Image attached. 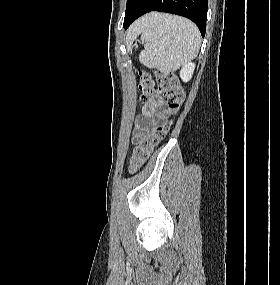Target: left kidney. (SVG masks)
I'll list each match as a JSON object with an SVG mask.
<instances>
[{
    "label": "left kidney",
    "mask_w": 280,
    "mask_h": 285,
    "mask_svg": "<svg viewBox=\"0 0 280 285\" xmlns=\"http://www.w3.org/2000/svg\"><path fill=\"white\" fill-rule=\"evenodd\" d=\"M195 64L188 62L180 70V77L184 82H188L194 73Z\"/></svg>",
    "instance_id": "obj_1"
}]
</instances>
